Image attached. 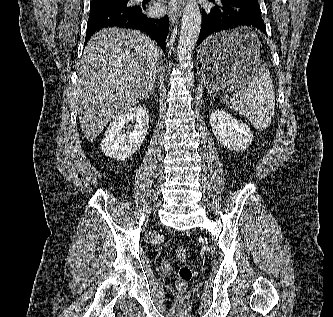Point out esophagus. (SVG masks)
<instances>
[{
	"label": "esophagus",
	"mask_w": 333,
	"mask_h": 317,
	"mask_svg": "<svg viewBox=\"0 0 333 317\" xmlns=\"http://www.w3.org/2000/svg\"><path fill=\"white\" fill-rule=\"evenodd\" d=\"M184 0H169L168 14L171 22H174L182 13Z\"/></svg>",
	"instance_id": "34e87169"
}]
</instances>
